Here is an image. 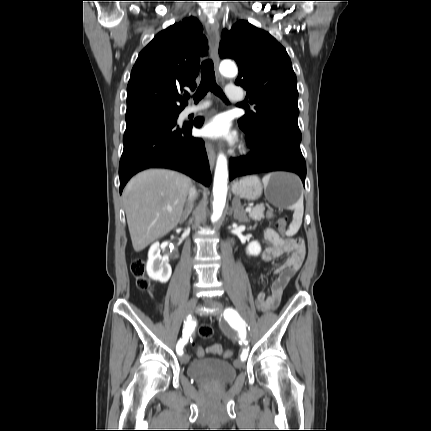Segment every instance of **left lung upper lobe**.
Masks as SVG:
<instances>
[{"label": "left lung upper lobe", "mask_w": 431, "mask_h": 431, "mask_svg": "<svg viewBox=\"0 0 431 431\" xmlns=\"http://www.w3.org/2000/svg\"><path fill=\"white\" fill-rule=\"evenodd\" d=\"M219 55L237 62L235 84L246 89V101L256 105L238 121L244 132L255 135L269 124L299 129L297 79L286 50L274 37L239 21L223 32Z\"/></svg>", "instance_id": "left-lung-upper-lobe-1"}]
</instances>
